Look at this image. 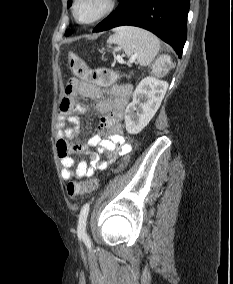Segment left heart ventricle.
I'll use <instances>...</instances> for the list:
<instances>
[{
	"mask_svg": "<svg viewBox=\"0 0 233 284\" xmlns=\"http://www.w3.org/2000/svg\"><path fill=\"white\" fill-rule=\"evenodd\" d=\"M105 0H81L77 7V14L82 20L95 17L104 7Z\"/></svg>",
	"mask_w": 233,
	"mask_h": 284,
	"instance_id": "left-heart-ventricle-1",
	"label": "left heart ventricle"
}]
</instances>
